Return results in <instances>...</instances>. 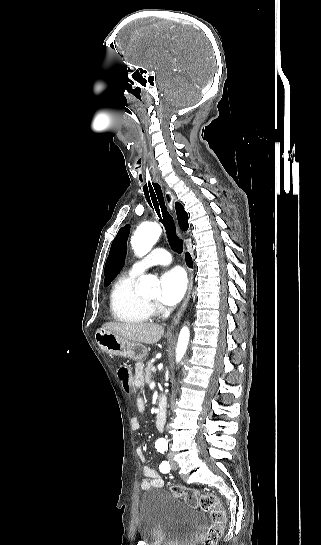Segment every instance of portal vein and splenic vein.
<instances>
[{"instance_id": "obj_1", "label": "portal vein and splenic vein", "mask_w": 321, "mask_h": 545, "mask_svg": "<svg viewBox=\"0 0 321 545\" xmlns=\"http://www.w3.org/2000/svg\"><path fill=\"white\" fill-rule=\"evenodd\" d=\"M153 371H154V373H157V370H156V368H153Z\"/></svg>"}]
</instances>
